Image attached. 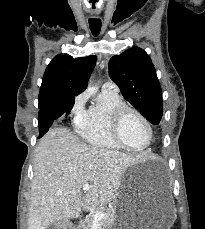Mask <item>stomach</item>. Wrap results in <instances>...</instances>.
Wrapping results in <instances>:
<instances>
[{"label": "stomach", "instance_id": "1", "mask_svg": "<svg viewBox=\"0 0 205 229\" xmlns=\"http://www.w3.org/2000/svg\"><path fill=\"white\" fill-rule=\"evenodd\" d=\"M135 180L131 173L123 177L110 229H170L175 220L174 206L164 199L137 193Z\"/></svg>", "mask_w": 205, "mask_h": 229}]
</instances>
